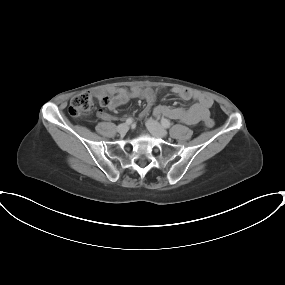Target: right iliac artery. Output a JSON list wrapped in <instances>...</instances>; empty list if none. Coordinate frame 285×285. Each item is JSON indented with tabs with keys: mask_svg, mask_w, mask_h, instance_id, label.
Returning <instances> with one entry per match:
<instances>
[{
	"mask_svg": "<svg viewBox=\"0 0 285 285\" xmlns=\"http://www.w3.org/2000/svg\"><path fill=\"white\" fill-rule=\"evenodd\" d=\"M133 122V119L132 118H128L127 120H126V124H131Z\"/></svg>",
	"mask_w": 285,
	"mask_h": 285,
	"instance_id": "right-iliac-artery-1",
	"label": "right iliac artery"
}]
</instances>
